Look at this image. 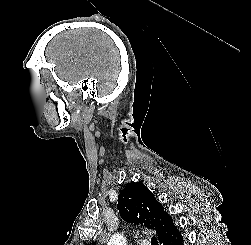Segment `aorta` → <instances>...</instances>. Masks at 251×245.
Instances as JSON below:
<instances>
[{"label": "aorta", "mask_w": 251, "mask_h": 245, "mask_svg": "<svg viewBox=\"0 0 251 245\" xmlns=\"http://www.w3.org/2000/svg\"><path fill=\"white\" fill-rule=\"evenodd\" d=\"M107 245H126V241L122 235L116 234L109 240Z\"/></svg>", "instance_id": "1"}]
</instances>
